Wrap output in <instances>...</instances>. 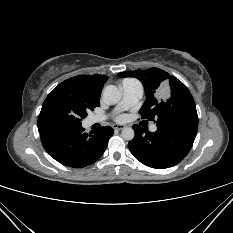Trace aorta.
<instances>
[{"label": "aorta", "mask_w": 233, "mask_h": 233, "mask_svg": "<svg viewBox=\"0 0 233 233\" xmlns=\"http://www.w3.org/2000/svg\"><path fill=\"white\" fill-rule=\"evenodd\" d=\"M121 91L115 85H108L103 89V99L106 103L114 105L121 100ZM121 136L125 140H132L135 136V132L130 127L123 128Z\"/></svg>", "instance_id": "1"}]
</instances>
